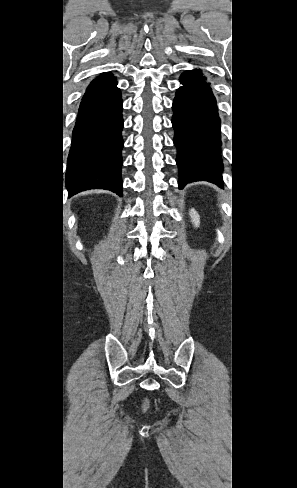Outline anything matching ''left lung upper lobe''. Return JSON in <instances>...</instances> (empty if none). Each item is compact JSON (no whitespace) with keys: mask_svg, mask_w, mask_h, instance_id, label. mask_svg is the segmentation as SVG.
Returning <instances> with one entry per match:
<instances>
[{"mask_svg":"<svg viewBox=\"0 0 297 488\" xmlns=\"http://www.w3.org/2000/svg\"><path fill=\"white\" fill-rule=\"evenodd\" d=\"M191 72L199 75L200 77H202V74H201V71L200 70H197L196 69V70H192ZM202 78L205 79V77H202Z\"/></svg>","mask_w":297,"mask_h":488,"instance_id":"1","label":"left lung upper lobe"}]
</instances>
